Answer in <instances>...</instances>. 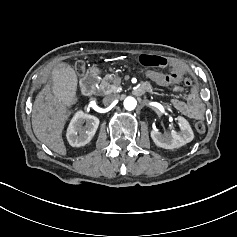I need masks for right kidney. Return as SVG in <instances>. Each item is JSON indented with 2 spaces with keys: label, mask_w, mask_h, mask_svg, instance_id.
<instances>
[{
  "label": "right kidney",
  "mask_w": 237,
  "mask_h": 237,
  "mask_svg": "<svg viewBox=\"0 0 237 237\" xmlns=\"http://www.w3.org/2000/svg\"><path fill=\"white\" fill-rule=\"evenodd\" d=\"M84 121L86 125L83 126ZM99 126V119L83 111L75 113L67 128L66 137L73 147L84 146L91 141Z\"/></svg>",
  "instance_id": "ca27d5eb"
}]
</instances>
